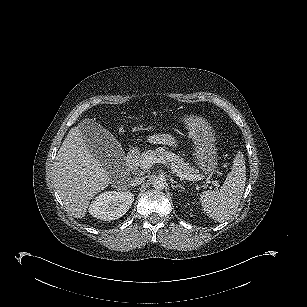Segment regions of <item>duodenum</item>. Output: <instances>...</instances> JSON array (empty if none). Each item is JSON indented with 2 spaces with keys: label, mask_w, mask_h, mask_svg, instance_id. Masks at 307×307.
I'll list each match as a JSON object with an SVG mask.
<instances>
[{
  "label": "duodenum",
  "mask_w": 307,
  "mask_h": 307,
  "mask_svg": "<svg viewBox=\"0 0 307 307\" xmlns=\"http://www.w3.org/2000/svg\"><path fill=\"white\" fill-rule=\"evenodd\" d=\"M133 156H134V151L130 153V157H133Z\"/></svg>",
  "instance_id": "1"
}]
</instances>
